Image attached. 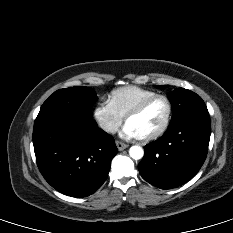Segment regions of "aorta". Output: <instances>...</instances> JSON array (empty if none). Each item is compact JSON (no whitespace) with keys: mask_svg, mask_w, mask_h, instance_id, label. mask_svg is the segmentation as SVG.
<instances>
[{"mask_svg":"<svg viewBox=\"0 0 233 233\" xmlns=\"http://www.w3.org/2000/svg\"><path fill=\"white\" fill-rule=\"evenodd\" d=\"M129 155L134 160H139L144 156V150L140 146H132L129 149Z\"/></svg>","mask_w":233,"mask_h":233,"instance_id":"obj_1","label":"aorta"}]
</instances>
